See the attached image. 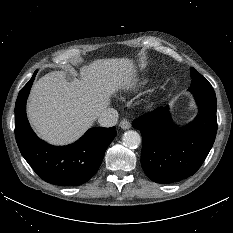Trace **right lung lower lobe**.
Masks as SVG:
<instances>
[{
  "mask_svg": "<svg viewBox=\"0 0 233 233\" xmlns=\"http://www.w3.org/2000/svg\"><path fill=\"white\" fill-rule=\"evenodd\" d=\"M37 71L20 90L15 105V136L19 150L44 181L61 186L87 182L100 167L104 153L116 136L115 127L89 129L71 145L51 146L39 139L26 116V99Z\"/></svg>",
  "mask_w": 233,
  "mask_h": 233,
  "instance_id": "obj_1",
  "label": "right lung lower lobe"
}]
</instances>
